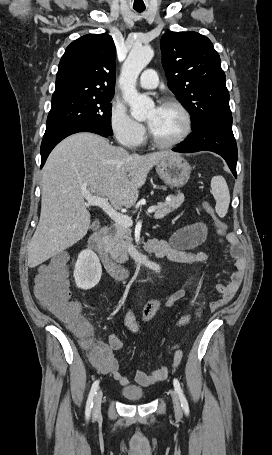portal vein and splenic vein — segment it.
Masks as SVG:
<instances>
[{"mask_svg": "<svg viewBox=\"0 0 272 455\" xmlns=\"http://www.w3.org/2000/svg\"><path fill=\"white\" fill-rule=\"evenodd\" d=\"M83 195L87 201L86 203L87 206H98L102 208L104 212H106L116 224L124 227H131L133 225L132 219L114 210L112 206L109 204L108 199L92 195L87 191L84 192ZM155 210L156 207L151 206L148 208L147 213L148 214L153 213Z\"/></svg>", "mask_w": 272, "mask_h": 455, "instance_id": "1", "label": "portal vein and splenic vein"}]
</instances>
